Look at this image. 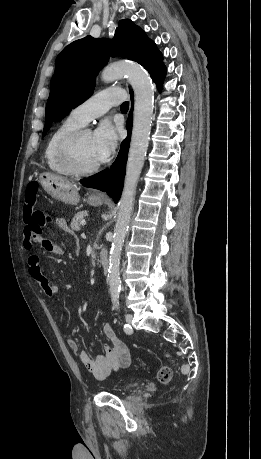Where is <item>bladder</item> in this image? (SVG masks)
<instances>
[{
    "mask_svg": "<svg viewBox=\"0 0 261 459\" xmlns=\"http://www.w3.org/2000/svg\"><path fill=\"white\" fill-rule=\"evenodd\" d=\"M134 387V385L132 384H125V385H122L118 388L119 391H123V392H128L130 390H132Z\"/></svg>",
    "mask_w": 261,
    "mask_h": 459,
    "instance_id": "31cf9c89",
    "label": "bladder"
}]
</instances>
